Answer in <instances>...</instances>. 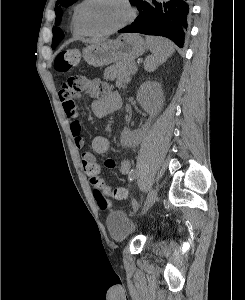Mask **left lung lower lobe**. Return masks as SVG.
<instances>
[{"label": "left lung lower lobe", "instance_id": "0a47b994", "mask_svg": "<svg viewBox=\"0 0 245 300\" xmlns=\"http://www.w3.org/2000/svg\"><path fill=\"white\" fill-rule=\"evenodd\" d=\"M132 4L137 7L139 15L129 27L119 30V33L164 36L183 47L189 0H170L166 3L134 0Z\"/></svg>", "mask_w": 245, "mask_h": 300}]
</instances>
